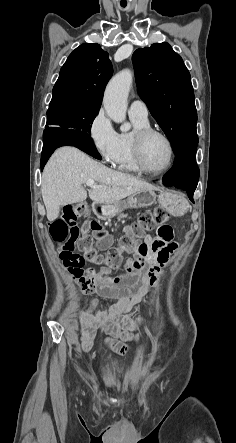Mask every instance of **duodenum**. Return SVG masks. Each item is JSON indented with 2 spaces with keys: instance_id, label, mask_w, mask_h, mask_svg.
<instances>
[{
  "instance_id": "1",
  "label": "duodenum",
  "mask_w": 236,
  "mask_h": 443,
  "mask_svg": "<svg viewBox=\"0 0 236 443\" xmlns=\"http://www.w3.org/2000/svg\"><path fill=\"white\" fill-rule=\"evenodd\" d=\"M106 207H107L106 205H96L94 207L95 214L98 216L106 215V213H105Z\"/></svg>"
}]
</instances>
